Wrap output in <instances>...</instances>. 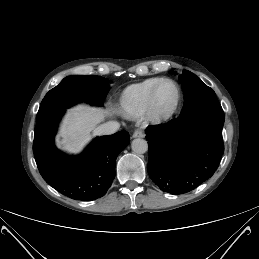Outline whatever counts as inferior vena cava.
Returning <instances> with one entry per match:
<instances>
[{
	"label": "inferior vena cava",
	"mask_w": 259,
	"mask_h": 259,
	"mask_svg": "<svg viewBox=\"0 0 259 259\" xmlns=\"http://www.w3.org/2000/svg\"><path fill=\"white\" fill-rule=\"evenodd\" d=\"M120 127L117 121H109L104 124L99 125L94 129V134L96 135H110L115 133Z\"/></svg>",
	"instance_id": "inferior-vena-cava-1"
}]
</instances>
